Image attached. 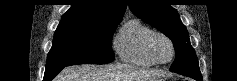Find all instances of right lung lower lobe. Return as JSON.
Masks as SVG:
<instances>
[{
	"mask_svg": "<svg viewBox=\"0 0 237 81\" xmlns=\"http://www.w3.org/2000/svg\"><path fill=\"white\" fill-rule=\"evenodd\" d=\"M64 67L54 68L45 71L43 81H51Z\"/></svg>",
	"mask_w": 237,
	"mask_h": 81,
	"instance_id": "1",
	"label": "right lung lower lobe"
}]
</instances>
